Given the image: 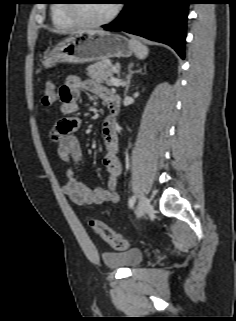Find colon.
Returning <instances> with one entry per match:
<instances>
[{"mask_svg":"<svg viewBox=\"0 0 236 321\" xmlns=\"http://www.w3.org/2000/svg\"><path fill=\"white\" fill-rule=\"evenodd\" d=\"M57 88L53 83H47L42 93L43 105L50 107L56 103ZM93 230L113 249L117 251H126L129 247L128 241L117 234L112 228L100 220H92Z\"/></svg>","mask_w":236,"mask_h":321,"instance_id":"obj_1","label":"colon"}]
</instances>
